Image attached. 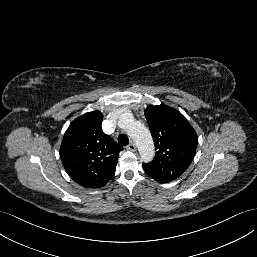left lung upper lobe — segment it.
<instances>
[{
  "mask_svg": "<svg viewBox=\"0 0 257 257\" xmlns=\"http://www.w3.org/2000/svg\"><path fill=\"white\" fill-rule=\"evenodd\" d=\"M144 113L157 152L143 168L160 183L177 179L194 158L197 134L179 111L164 104L148 106Z\"/></svg>",
  "mask_w": 257,
  "mask_h": 257,
  "instance_id": "5c2ea615",
  "label": "left lung upper lobe"
}]
</instances>
